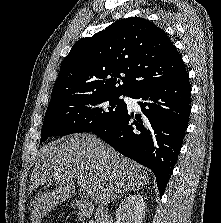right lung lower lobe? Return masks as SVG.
<instances>
[{
    "instance_id": "1",
    "label": "right lung lower lobe",
    "mask_w": 221,
    "mask_h": 223,
    "mask_svg": "<svg viewBox=\"0 0 221 223\" xmlns=\"http://www.w3.org/2000/svg\"><path fill=\"white\" fill-rule=\"evenodd\" d=\"M188 73L166 84L147 87L129 97L138 100L142 114L128 108L97 134L124 156L150 168L162 197L182 146L191 112Z\"/></svg>"
}]
</instances>
